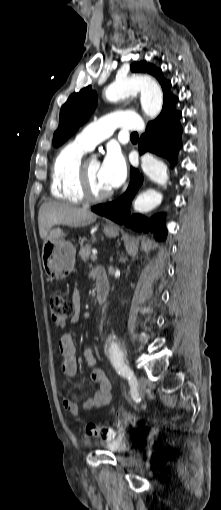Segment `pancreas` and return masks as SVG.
I'll return each mask as SVG.
<instances>
[{
    "instance_id": "pancreas-1",
    "label": "pancreas",
    "mask_w": 221,
    "mask_h": 510,
    "mask_svg": "<svg viewBox=\"0 0 221 510\" xmlns=\"http://www.w3.org/2000/svg\"><path fill=\"white\" fill-rule=\"evenodd\" d=\"M91 248L92 247L89 244L85 245L84 247H81L79 251V258L82 259L83 261H87L91 254Z\"/></svg>"
}]
</instances>
